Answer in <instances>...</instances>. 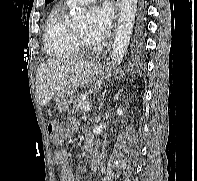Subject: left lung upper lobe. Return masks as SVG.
I'll return each instance as SVG.
<instances>
[{
    "label": "left lung upper lobe",
    "instance_id": "5c2ea615",
    "mask_svg": "<svg viewBox=\"0 0 197 181\" xmlns=\"http://www.w3.org/2000/svg\"><path fill=\"white\" fill-rule=\"evenodd\" d=\"M51 1H53V0H46V4L50 3Z\"/></svg>",
    "mask_w": 197,
    "mask_h": 181
}]
</instances>
